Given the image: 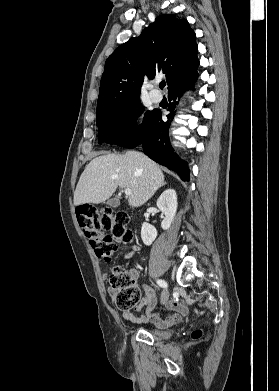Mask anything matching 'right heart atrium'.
<instances>
[{"instance_id": "right-heart-atrium-1", "label": "right heart atrium", "mask_w": 279, "mask_h": 391, "mask_svg": "<svg viewBox=\"0 0 279 391\" xmlns=\"http://www.w3.org/2000/svg\"><path fill=\"white\" fill-rule=\"evenodd\" d=\"M135 122V118L133 116H126L121 121V126L124 128H131Z\"/></svg>"}]
</instances>
